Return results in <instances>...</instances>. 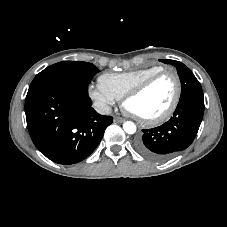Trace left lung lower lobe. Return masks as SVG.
I'll list each match as a JSON object with an SVG mask.
<instances>
[{
  "mask_svg": "<svg viewBox=\"0 0 227 227\" xmlns=\"http://www.w3.org/2000/svg\"><path fill=\"white\" fill-rule=\"evenodd\" d=\"M203 95L179 99L171 119L161 126L144 129L135 141L136 150L144 157L163 161L186 149L195 139L204 113Z\"/></svg>",
  "mask_w": 227,
  "mask_h": 227,
  "instance_id": "left-lung-lower-lobe-1",
  "label": "left lung lower lobe"
}]
</instances>
